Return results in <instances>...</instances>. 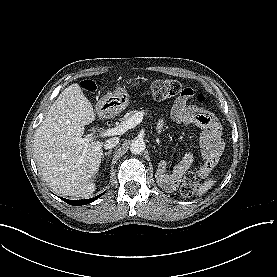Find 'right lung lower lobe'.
Here are the masks:
<instances>
[{"mask_svg": "<svg viewBox=\"0 0 277 277\" xmlns=\"http://www.w3.org/2000/svg\"><path fill=\"white\" fill-rule=\"evenodd\" d=\"M102 195H103V193L96 196L95 198L85 199V200H68V199H64V198H62V200H64L66 203H68L70 205H85V204L93 202L94 200H97V198H99Z\"/></svg>", "mask_w": 277, "mask_h": 277, "instance_id": "98d812e1", "label": "right lung lower lobe"}]
</instances>
